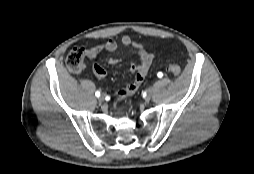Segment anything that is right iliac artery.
Wrapping results in <instances>:
<instances>
[{"instance_id": "right-iliac-artery-1", "label": "right iliac artery", "mask_w": 254, "mask_h": 174, "mask_svg": "<svg viewBox=\"0 0 254 174\" xmlns=\"http://www.w3.org/2000/svg\"><path fill=\"white\" fill-rule=\"evenodd\" d=\"M95 96H96V97H99V96H100V92H99V91H96Z\"/></svg>"}]
</instances>
